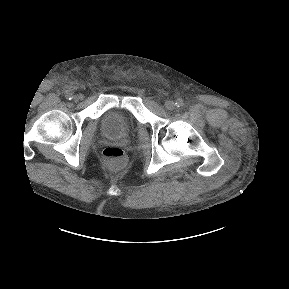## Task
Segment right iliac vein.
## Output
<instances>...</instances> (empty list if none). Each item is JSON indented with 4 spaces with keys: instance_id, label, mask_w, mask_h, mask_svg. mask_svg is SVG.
<instances>
[{
    "instance_id": "obj_1",
    "label": "right iliac vein",
    "mask_w": 289,
    "mask_h": 289,
    "mask_svg": "<svg viewBox=\"0 0 289 289\" xmlns=\"http://www.w3.org/2000/svg\"><path fill=\"white\" fill-rule=\"evenodd\" d=\"M74 101H79L81 99L80 95H75L73 97Z\"/></svg>"
}]
</instances>
